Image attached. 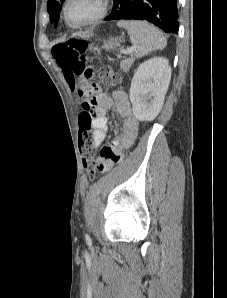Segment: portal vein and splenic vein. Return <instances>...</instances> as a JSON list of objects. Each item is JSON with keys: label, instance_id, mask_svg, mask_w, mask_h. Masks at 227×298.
Returning a JSON list of instances; mask_svg holds the SVG:
<instances>
[{"label": "portal vein and splenic vein", "instance_id": "1", "mask_svg": "<svg viewBox=\"0 0 227 298\" xmlns=\"http://www.w3.org/2000/svg\"><path fill=\"white\" fill-rule=\"evenodd\" d=\"M136 48H137L136 46H133V47L128 48L127 50H123L122 52L124 54H130V53L134 52L136 50Z\"/></svg>", "mask_w": 227, "mask_h": 298}]
</instances>
